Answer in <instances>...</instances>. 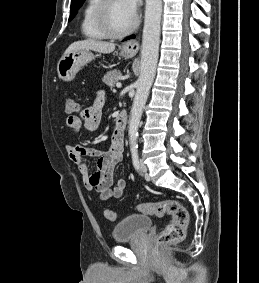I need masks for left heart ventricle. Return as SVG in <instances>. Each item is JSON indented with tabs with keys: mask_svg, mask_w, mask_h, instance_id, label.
<instances>
[{
	"mask_svg": "<svg viewBox=\"0 0 259 283\" xmlns=\"http://www.w3.org/2000/svg\"><path fill=\"white\" fill-rule=\"evenodd\" d=\"M134 15H132L123 0H113L110 8V21L115 31H123L127 29L133 22Z\"/></svg>",
	"mask_w": 259,
	"mask_h": 283,
	"instance_id": "left-heart-ventricle-1",
	"label": "left heart ventricle"
}]
</instances>
